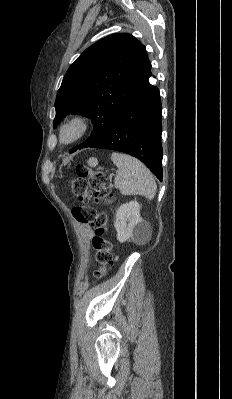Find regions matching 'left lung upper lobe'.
<instances>
[{"mask_svg":"<svg viewBox=\"0 0 232 399\" xmlns=\"http://www.w3.org/2000/svg\"><path fill=\"white\" fill-rule=\"evenodd\" d=\"M145 46L128 33L109 35L69 67L57 92L55 128L70 113L91 118L94 130L77 149L90 147L110 129L133 96L148 64Z\"/></svg>","mask_w":232,"mask_h":399,"instance_id":"left-lung-upper-lobe-1","label":"left lung upper lobe"}]
</instances>
